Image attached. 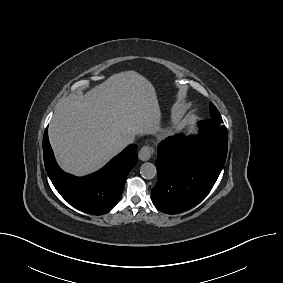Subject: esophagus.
I'll return each mask as SVG.
<instances>
[{
    "instance_id": "esophagus-1",
    "label": "esophagus",
    "mask_w": 283,
    "mask_h": 283,
    "mask_svg": "<svg viewBox=\"0 0 283 283\" xmlns=\"http://www.w3.org/2000/svg\"><path fill=\"white\" fill-rule=\"evenodd\" d=\"M155 153V148L151 146H143L138 153V157L142 161L149 160Z\"/></svg>"
}]
</instances>
